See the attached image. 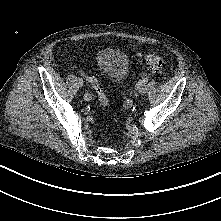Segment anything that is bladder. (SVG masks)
<instances>
[{
	"label": "bladder",
	"instance_id": "1",
	"mask_svg": "<svg viewBox=\"0 0 221 221\" xmlns=\"http://www.w3.org/2000/svg\"><path fill=\"white\" fill-rule=\"evenodd\" d=\"M97 65L105 78L112 84H120L125 79L129 63L126 55L113 48L98 52Z\"/></svg>",
	"mask_w": 221,
	"mask_h": 221
}]
</instances>
